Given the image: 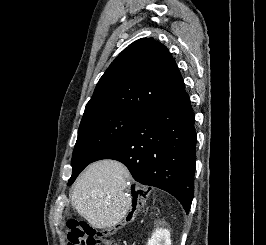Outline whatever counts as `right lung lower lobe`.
I'll return each instance as SVG.
<instances>
[{
	"label": "right lung lower lobe",
	"instance_id": "1",
	"mask_svg": "<svg viewBox=\"0 0 266 245\" xmlns=\"http://www.w3.org/2000/svg\"><path fill=\"white\" fill-rule=\"evenodd\" d=\"M195 113L185 89L148 111L113 146L94 160L114 159L141 184L174 196L188 214L194 196Z\"/></svg>",
	"mask_w": 266,
	"mask_h": 245
}]
</instances>
